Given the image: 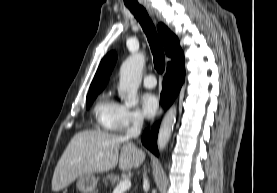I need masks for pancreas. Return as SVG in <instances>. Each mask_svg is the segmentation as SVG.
Here are the masks:
<instances>
[{
  "label": "pancreas",
  "mask_w": 277,
  "mask_h": 193,
  "mask_svg": "<svg viewBox=\"0 0 277 193\" xmlns=\"http://www.w3.org/2000/svg\"><path fill=\"white\" fill-rule=\"evenodd\" d=\"M105 181L106 182L110 181L111 185L114 187L119 184V182L121 181V178L116 174H109L106 176Z\"/></svg>",
  "instance_id": "obj_1"
}]
</instances>
